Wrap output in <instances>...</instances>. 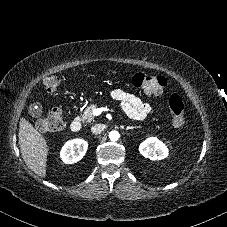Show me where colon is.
I'll use <instances>...</instances> for the list:
<instances>
[{
	"label": "colon",
	"mask_w": 227,
	"mask_h": 227,
	"mask_svg": "<svg viewBox=\"0 0 227 227\" xmlns=\"http://www.w3.org/2000/svg\"><path fill=\"white\" fill-rule=\"evenodd\" d=\"M131 83L134 87L152 95H160L165 86L166 80L163 76L150 75L144 72L133 74ZM62 84V76L55 73L47 77L44 86L49 93H56ZM169 110L171 121L174 127L181 128L186 123L185 107L178 95H172L169 99ZM64 115L60 108H53L37 123L41 132H57L64 126Z\"/></svg>",
	"instance_id": "obj_1"
}]
</instances>
